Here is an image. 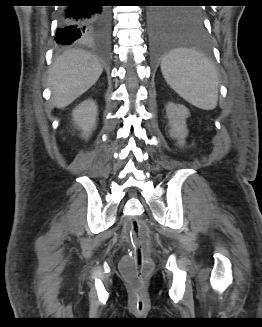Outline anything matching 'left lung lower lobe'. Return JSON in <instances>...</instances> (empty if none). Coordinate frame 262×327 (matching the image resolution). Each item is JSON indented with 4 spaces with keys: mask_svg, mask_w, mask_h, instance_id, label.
Returning a JSON list of instances; mask_svg holds the SVG:
<instances>
[{
    "mask_svg": "<svg viewBox=\"0 0 262 327\" xmlns=\"http://www.w3.org/2000/svg\"><path fill=\"white\" fill-rule=\"evenodd\" d=\"M174 9H155L149 18L150 47L158 55L170 50L186 49L206 52L210 42L201 22L179 16Z\"/></svg>",
    "mask_w": 262,
    "mask_h": 327,
    "instance_id": "0a47b994",
    "label": "left lung lower lobe"
}]
</instances>
